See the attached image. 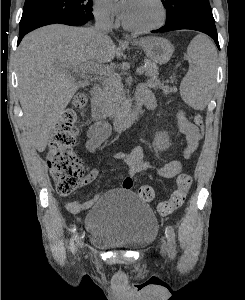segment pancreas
Instances as JSON below:
<instances>
[{"instance_id":"cf45deb5","label":"pancreas","mask_w":245,"mask_h":300,"mask_svg":"<svg viewBox=\"0 0 245 300\" xmlns=\"http://www.w3.org/2000/svg\"><path fill=\"white\" fill-rule=\"evenodd\" d=\"M148 65L144 68L145 75L148 77L147 84L152 88H161L167 95L175 92L176 88L164 85L158 79V67L155 63L146 60ZM174 77H171L173 83ZM103 91L101 94V105L107 116L110 118L119 117L126 109V97L123 91L121 77L114 71H108L103 79Z\"/></svg>"}]
</instances>
